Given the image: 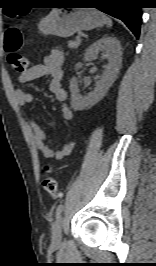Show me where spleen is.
I'll return each mask as SVG.
<instances>
[{
	"label": "spleen",
	"mask_w": 156,
	"mask_h": 266,
	"mask_svg": "<svg viewBox=\"0 0 156 266\" xmlns=\"http://www.w3.org/2000/svg\"><path fill=\"white\" fill-rule=\"evenodd\" d=\"M105 23L107 24L108 27H111L112 26V21L108 17H105Z\"/></svg>",
	"instance_id": "3e777b00"
}]
</instances>
